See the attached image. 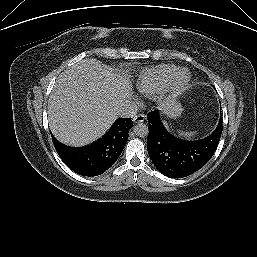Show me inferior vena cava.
I'll return each mask as SVG.
<instances>
[{
  "mask_svg": "<svg viewBox=\"0 0 257 257\" xmlns=\"http://www.w3.org/2000/svg\"><path fill=\"white\" fill-rule=\"evenodd\" d=\"M137 106L131 102H124L117 110V115L122 118H133L137 114Z\"/></svg>",
  "mask_w": 257,
  "mask_h": 257,
  "instance_id": "602c4592",
  "label": "inferior vena cava"
}]
</instances>
